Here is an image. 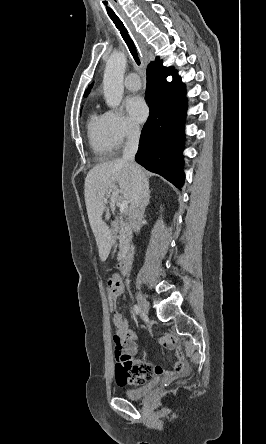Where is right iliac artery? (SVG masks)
<instances>
[{
  "label": "right iliac artery",
  "mask_w": 266,
  "mask_h": 444,
  "mask_svg": "<svg viewBox=\"0 0 266 444\" xmlns=\"http://www.w3.org/2000/svg\"><path fill=\"white\" fill-rule=\"evenodd\" d=\"M139 312H140V308H139L137 305H135V306H134V313H135L136 315H138Z\"/></svg>",
  "instance_id": "82829eb1"
}]
</instances>
